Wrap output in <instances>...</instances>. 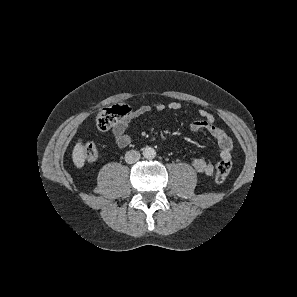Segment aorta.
<instances>
[{
	"instance_id": "1",
	"label": "aorta",
	"mask_w": 297,
	"mask_h": 297,
	"mask_svg": "<svg viewBox=\"0 0 297 297\" xmlns=\"http://www.w3.org/2000/svg\"><path fill=\"white\" fill-rule=\"evenodd\" d=\"M143 156L146 159H153L156 156V151L152 147H146L143 149Z\"/></svg>"
}]
</instances>
